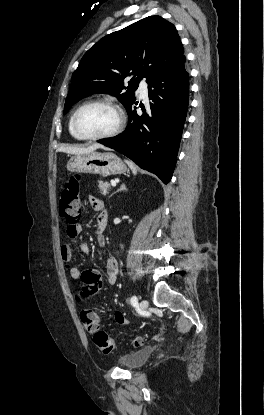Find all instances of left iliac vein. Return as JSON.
Wrapping results in <instances>:
<instances>
[{"label": "left iliac vein", "mask_w": 264, "mask_h": 415, "mask_svg": "<svg viewBox=\"0 0 264 415\" xmlns=\"http://www.w3.org/2000/svg\"><path fill=\"white\" fill-rule=\"evenodd\" d=\"M148 307V301L146 299H143L140 301V308L141 310H146Z\"/></svg>", "instance_id": "4c4485c4"}]
</instances>
